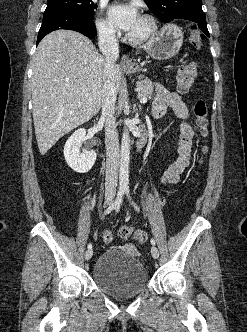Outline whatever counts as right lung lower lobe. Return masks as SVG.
<instances>
[{"label":"right lung lower lobe","instance_id":"right-lung-lower-lobe-1","mask_svg":"<svg viewBox=\"0 0 247 332\" xmlns=\"http://www.w3.org/2000/svg\"><path fill=\"white\" fill-rule=\"evenodd\" d=\"M58 29L74 30L89 38L97 35L93 18L75 12L44 13L37 37V45L44 36Z\"/></svg>","mask_w":247,"mask_h":332}]
</instances>
